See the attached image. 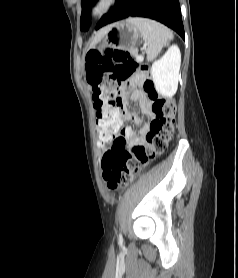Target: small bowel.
<instances>
[{"instance_id":"small-bowel-1","label":"small bowel","mask_w":238,"mask_h":278,"mask_svg":"<svg viewBox=\"0 0 238 278\" xmlns=\"http://www.w3.org/2000/svg\"><path fill=\"white\" fill-rule=\"evenodd\" d=\"M131 86L132 91L128 92L127 87ZM123 108H122V121H132L136 124L141 122L139 116L129 110L126 107L128 100L137 101L140 105V109L143 114L149 118L154 117L152 111V101L148 98L145 93L142 82L139 79H133L132 81L123 85ZM149 131V125L146 124L143 126L141 133L137 135L133 129L129 126L120 127L119 131L115 135L105 136L101 133V140L109 143V148L111 149L112 144H131V145H141L144 144L146 135ZM106 154V152H105Z\"/></svg>"}]
</instances>
